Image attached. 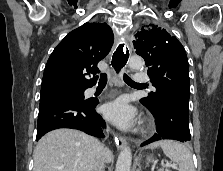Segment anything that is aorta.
<instances>
[{
	"label": "aorta",
	"mask_w": 223,
	"mask_h": 171,
	"mask_svg": "<svg viewBox=\"0 0 223 171\" xmlns=\"http://www.w3.org/2000/svg\"><path fill=\"white\" fill-rule=\"evenodd\" d=\"M144 61L139 56H133L129 59V66L133 70L143 68ZM132 153L129 147H125L119 154L115 171H131Z\"/></svg>",
	"instance_id": "aorta-1"
}]
</instances>
